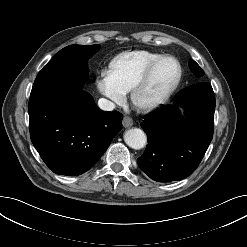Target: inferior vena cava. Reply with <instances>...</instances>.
Segmentation results:
<instances>
[{"instance_id":"602c4592","label":"inferior vena cava","mask_w":247,"mask_h":247,"mask_svg":"<svg viewBox=\"0 0 247 247\" xmlns=\"http://www.w3.org/2000/svg\"><path fill=\"white\" fill-rule=\"evenodd\" d=\"M98 106L104 111H112L115 108V104L113 102L104 98L98 100Z\"/></svg>"}]
</instances>
